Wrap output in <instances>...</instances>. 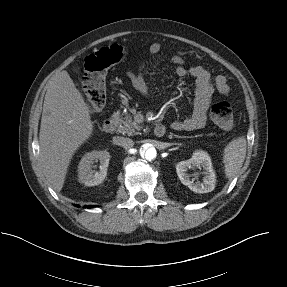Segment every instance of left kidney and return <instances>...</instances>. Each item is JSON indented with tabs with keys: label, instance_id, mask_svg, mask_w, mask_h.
<instances>
[{
	"label": "left kidney",
	"instance_id": "5707ae66",
	"mask_svg": "<svg viewBox=\"0 0 287 287\" xmlns=\"http://www.w3.org/2000/svg\"><path fill=\"white\" fill-rule=\"evenodd\" d=\"M203 168V181L194 182L187 173L188 169ZM176 172L182 184L188 186L195 193H208L214 190L216 183L215 172L212 167L211 158L207 152L196 150L192 158L181 161L176 165Z\"/></svg>",
	"mask_w": 287,
	"mask_h": 287
}]
</instances>
